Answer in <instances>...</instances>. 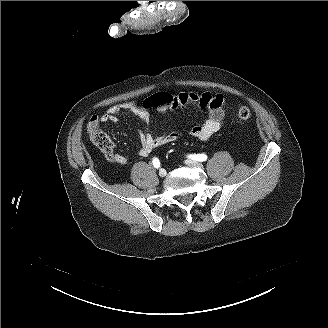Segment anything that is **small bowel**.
<instances>
[{
  "mask_svg": "<svg viewBox=\"0 0 328 328\" xmlns=\"http://www.w3.org/2000/svg\"><path fill=\"white\" fill-rule=\"evenodd\" d=\"M175 98L176 102L172 104V110H179L187 105L193 104L207 111L208 116L205 121L186 130L187 134L191 137L206 141L223 126L226 113L224 110L225 99L222 95H213L209 92H188L175 94ZM165 112L166 110L162 109L159 113L163 115ZM121 113H132L145 125V128L139 131L141 142L139 155L141 157H147L154 149L175 141L182 134V131L178 129L159 135L153 134L150 130L153 122L152 114L142 105L132 101L109 107L100 116L99 120L103 123H116L118 121V115ZM104 154L110 161L118 165H125L127 163V158L124 155L115 154L113 150Z\"/></svg>",
  "mask_w": 328,
  "mask_h": 328,
  "instance_id": "c3829d8e",
  "label": "small bowel"
}]
</instances>
